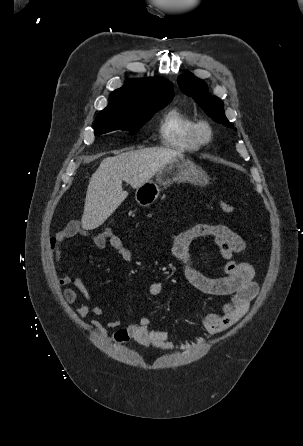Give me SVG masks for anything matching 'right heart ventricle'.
<instances>
[{
    "label": "right heart ventricle",
    "mask_w": 303,
    "mask_h": 446,
    "mask_svg": "<svg viewBox=\"0 0 303 446\" xmlns=\"http://www.w3.org/2000/svg\"><path fill=\"white\" fill-rule=\"evenodd\" d=\"M196 119L178 107L170 108L159 124L162 145L182 150L195 151L201 146L196 136Z\"/></svg>",
    "instance_id": "e07e8e85"
}]
</instances>
